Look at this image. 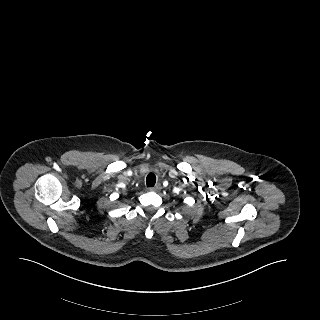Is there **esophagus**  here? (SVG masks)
<instances>
[{
	"mask_svg": "<svg viewBox=\"0 0 320 320\" xmlns=\"http://www.w3.org/2000/svg\"><path fill=\"white\" fill-rule=\"evenodd\" d=\"M160 189H161V185L159 183L156 184L155 186L149 188V190L153 191V192H157Z\"/></svg>",
	"mask_w": 320,
	"mask_h": 320,
	"instance_id": "obj_1",
	"label": "esophagus"
}]
</instances>
